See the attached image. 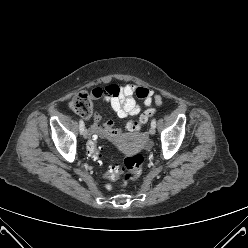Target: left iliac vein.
<instances>
[{
    "label": "left iliac vein",
    "instance_id": "left-iliac-vein-1",
    "mask_svg": "<svg viewBox=\"0 0 248 248\" xmlns=\"http://www.w3.org/2000/svg\"><path fill=\"white\" fill-rule=\"evenodd\" d=\"M149 133L151 135H154L155 134V128L151 126L150 129H149Z\"/></svg>",
    "mask_w": 248,
    "mask_h": 248
}]
</instances>
